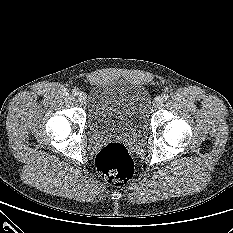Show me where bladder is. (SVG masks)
<instances>
[{"mask_svg": "<svg viewBox=\"0 0 233 233\" xmlns=\"http://www.w3.org/2000/svg\"><path fill=\"white\" fill-rule=\"evenodd\" d=\"M88 105V125L93 137L120 133L139 138L148 129L150 95L141 84L123 79L95 83Z\"/></svg>", "mask_w": 233, "mask_h": 233, "instance_id": "bladder-1", "label": "bladder"}]
</instances>
